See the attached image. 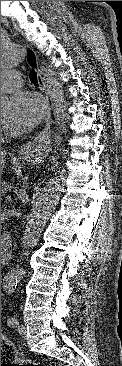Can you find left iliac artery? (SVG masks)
Wrapping results in <instances>:
<instances>
[{
  "instance_id": "left-iliac-artery-1",
  "label": "left iliac artery",
  "mask_w": 122,
  "mask_h": 366,
  "mask_svg": "<svg viewBox=\"0 0 122 366\" xmlns=\"http://www.w3.org/2000/svg\"><path fill=\"white\" fill-rule=\"evenodd\" d=\"M18 320L15 317H11L8 319L7 324L10 327H16L18 325Z\"/></svg>"
}]
</instances>
